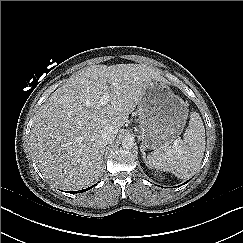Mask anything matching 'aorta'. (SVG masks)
Masks as SVG:
<instances>
[{
	"label": "aorta",
	"instance_id": "aorta-1",
	"mask_svg": "<svg viewBox=\"0 0 243 243\" xmlns=\"http://www.w3.org/2000/svg\"><path fill=\"white\" fill-rule=\"evenodd\" d=\"M134 146V140L133 138L131 137H125L123 140H122V147L124 149H132Z\"/></svg>",
	"mask_w": 243,
	"mask_h": 243
}]
</instances>
